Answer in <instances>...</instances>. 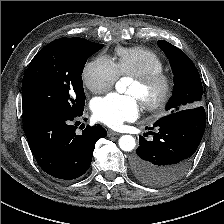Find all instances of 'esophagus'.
Masks as SVG:
<instances>
[{
  "mask_svg": "<svg viewBox=\"0 0 224 224\" xmlns=\"http://www.w3.org/2000/svg\"><path fill=\"white\" fill-rule=\"evenodd\" d=\"M120 135V133H118V132H115V131H112V130H109L108 131V136L110 137V136H119Z\"/></svg>",
  "mask_w": 224,
  "mask_h": 224,
  "instance_id": "1",
  "label": "esophagus"
}]
</instances>
